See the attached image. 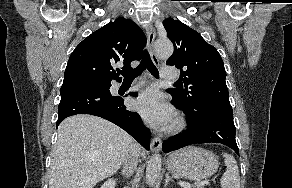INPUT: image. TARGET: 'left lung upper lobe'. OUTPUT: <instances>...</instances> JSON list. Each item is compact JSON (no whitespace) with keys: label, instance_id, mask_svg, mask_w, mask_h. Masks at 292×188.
<instances>
[{"label":"left lung upper lobe","instance_id":"obj_1","mask_svg":"<svg viewBox=\"0 0 292 188\" xmlns=\"http://www.w3.org/2000/svg\"><path fill=\"white\" fill-rule=\"evenodd\" d=\"M174 52L166 64L181 70L180 88L167 91L188 117L198 120L213 107H231L226 71L218 51L187 25L173 18L163 21Z\"/></svg>","mask_w":292,"mask_h":188}]
</instances>
